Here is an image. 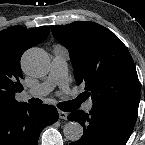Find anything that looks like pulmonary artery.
<instances>
[{"label": "pulmonary artery", "instance_id": "pulmonary-artery-1", "mask_svg": "<svg viewBox=\"0 0 145 145\" xmlns=\"http://www.w3.org/2000/svg\"><path fill=\"white\" fill-rule=\"evenodd\" d=\"M56 86H59L63 93L69 91L66 57L61 54H55L53 56L50 72L47 78L42 83L24 92L23 97L28 98L30 96L46 95ZM92 107L93 101L89 100L85 104V110L90 111Z\"/></svg>", "mask_w": 145, "mask_h": 145}]
</instances>
